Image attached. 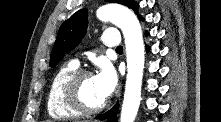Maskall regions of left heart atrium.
I'll return each instance as SVG.
<instances>
[{
    "instance_id": "39dd6f15",
    "label": "left heart atrium",
    "mask_w": 221,
    "mask_h": 122,
    "mask_svg": "<svg viewBox=\"0 0 221 122\" xmlns=\"http://www.w3.org/2000/svg\"><path fill=\"white\" fill-rule=\"evenodd\" d=\"M94 78L101 96L104 99L108 98L117 86V76L112 65L107 61L101 62Z\"/></svg>"
}]
</instances>
